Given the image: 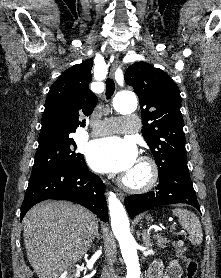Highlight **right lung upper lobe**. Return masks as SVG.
Returning <instances> with one entry per match:
<instances>
[{
	"label": "right lung upper lobe",
	"mask_w": 221,
	"mask_h": 278,
	"mask_svg": "<svg viewBox=\"0 0 221 278\" xmlns=\"http://www.w3.org/2000/svg\"><path fill=\"white\" fill-rule=\"evenodd\" d=\"M92 60L68 68L52 84L46 97L39 141L56 140L85 126L82 115H90L98 98L89 89Z\"/></svg>",
	"instance_id": "obj_1"
}]
</instances>
